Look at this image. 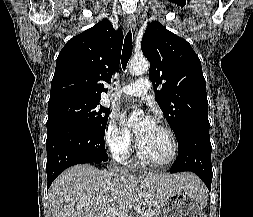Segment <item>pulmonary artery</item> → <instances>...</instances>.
Instances as JSON below:
<instances>
[{
  "mask_svg": "<svg viewBox=\"0 0 253 217\" xmlns=\"http://www.w3.org/2000/svg\"><path fill=\"white\" fill-rule=\"evenodd\" d=\"M149 89V80L146 77H140L135 82L122 86L119 92L122 95L141 97L146 95Z\"/></svg>",
  "mask_w": 253,
  "mask_h": 217,
  "instance_id": "obj_1",
  "label": "pulmonary artery"
}]
</instances>
